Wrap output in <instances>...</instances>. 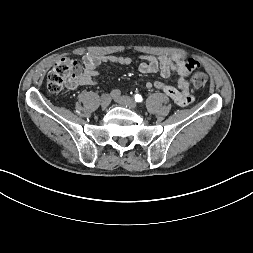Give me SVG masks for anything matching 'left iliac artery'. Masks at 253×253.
Listing matches in <instances>:
<instances>
[{"label":"left iliac artery","mask_w":253,"mask_h":253,"mask_svg":"<svg viewBox=\"0 0 253 253\" xmlns=\"http://www.w3.org/2000/svg\"><path fill=\"white\" fill-rule=\"evenodd\" d=\"M134 99H135L136 102H142V100H143L142 96L139 95V94H136V95L134 96Z\"/></svg>","instance_id":"44dca946"}]
</instances>
